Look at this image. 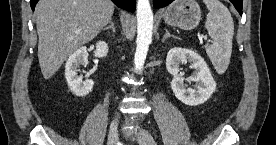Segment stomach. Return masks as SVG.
I'll return each mask as SVG.
<instances>
[{
    "label": "stomach",
    "mask_w": 276,
    "mask_h": 145,
    "mask_svg": "<svg viewBox=\"0 0 276 145\" xmlns=\"http://www.w3.org/2000/svg\"><path fill=\"white\" fill-rule=\"evenodd\" d=\"M163 18L168 25L190 30L199 24L201 11L195 0H175L165 10Z\"/></svg>",
    "instance_id": "0dacf381"
}]
</instances>
